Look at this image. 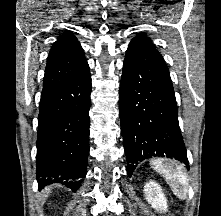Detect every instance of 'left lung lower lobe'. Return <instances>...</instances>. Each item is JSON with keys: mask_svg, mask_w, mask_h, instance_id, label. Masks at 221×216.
<instances>
[{"mask_svg": "<svg viewBox=\"0 0 221 216\" xmlns=\"http://www.w3.org/2000/svg\"><path fill=\"white\" fill-rule=\"evenodd\" d=\"M127 172L147 158H175L189 169L169 70L154 48L130 42L119 92Z\"/></svg>", "mask_w": 221, "mask_h": 216, "instance_id": "1", "label": "left lung lower lobe"}]
</instances>
